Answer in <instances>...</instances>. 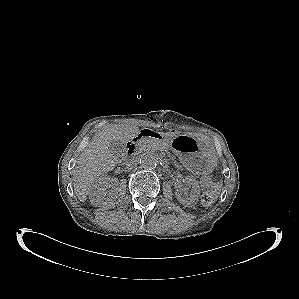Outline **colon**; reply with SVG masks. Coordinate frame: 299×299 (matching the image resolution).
Instances as JSON below:
<instances>
[{"label": "colon", "mask_w": 299, "mask_h": 299, "mask_svg": "<svg viewBox=\"0 0 299 299\" xmlns=\"http://www.w3.org/2000/svg\"><path fill=\"white\" fill-rule=\"evenodd\" d=\"M201 186L206 188L202 195V203L206 206L211 205L216 198L217 186L212 184V180L209 176H204L200 180Z\"/></svg>", "instance_id": "obj_1"}]
</instances>
